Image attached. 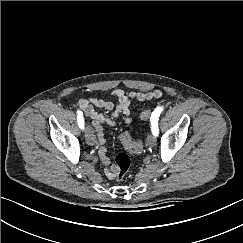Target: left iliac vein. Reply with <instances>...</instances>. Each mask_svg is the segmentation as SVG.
<instances>
[{"instance_id":"1","label":"left iliac vein","mask_w":243,"mask_h":243,"mask_svg":"<svg viewBox=\"0 0 243 243\" xmlns=\"http://www.w3.org/2000/svg\"><path fill=\"white\" fill-rule=\"evenodd\" d=\"M146 142L149 146H154L156 144V137L154 134H148Z\"/></svg>"}]
</instances>
